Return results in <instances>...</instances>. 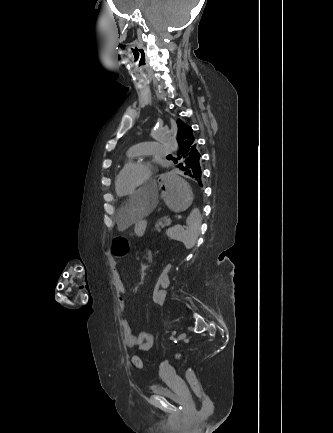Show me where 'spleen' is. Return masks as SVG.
<instances>
[{
  "label": "spleen",
  "mask_w": 333,
  "mask_h": 433,
  "mask_svg": "<svg viewBox=\"0 0 333 433\" xmlns=\"http://www.w3.org/2000/svg\"><path fill=\"white\" fill-rule=\"evenodd\" d=\"M185 183L187 182L185 181ZM190 212L191 213L186 220V226L177 224L167 231V235L171 239L183 242L187 249H191L195 246L200 233L201 225V213L199 207L193 206L190 209Z\"/></svg>",
  "instance_id": "spleen-1"
}]
</instances>
